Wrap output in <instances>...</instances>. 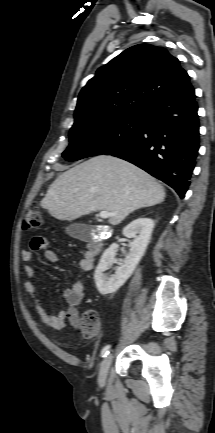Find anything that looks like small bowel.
Returning a JSON list of instances; mask_svg holds the SVG:
<instances>
[{
  "label": "small bowel",
  "mask_w": 215,
  "mask_h": 433,
  "mask_svg": "<svg viewBox=\"0 0 215 433\" xmlns=\"http://www.w3.org/2000/svg\"><path fill=\"white\" fill-rule=\"evenodd\" d=\"M34 251H42L46 261L56 264L59 262L57 253L47 246V242L42 237H35L30 243V249L22 252V259L25 262H30L33 259ZM94 265V256L85 250L82 253V258L79 262V268L82 271L92 270ZM24 271L28 279L24 283V289L32 302V307L39 318L55 330H61L66 328L68 325L78 327L81 324L80 317L78 314V306L81 304L84 298V284L81 281H74L64 293V299L68 304V310L66 312L58 311L56 313H49L43 307L36 287L32 282L35 276V270L31 265H26Z\"/></svg>",
  "instance_id": "c3829d8e"
}]
</instances>
